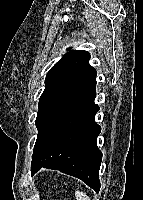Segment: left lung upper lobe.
Returning <instances> with one entry per match:
<instances>
[{"instance_id": "obj_1", "label": "left lung upper lobe", "mask_w": 143, "mask_h": 200, "mask_svg": "<svg viewBox=\"0 0 143 200\" xmlns=\"http://www.w3.org/2000/svg\"><path fill=\"white\" fill-rule=\"evenodd\" d=\"M90 54L84 50L67 52L47 73L45 89L39 100V111L62 89L69 85L89 64ZM38 111V112H39Z\"/></svg>"}]
</instances>
